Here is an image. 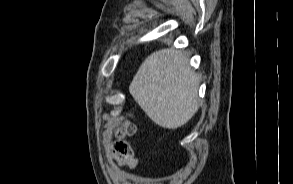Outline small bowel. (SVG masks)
Returning a JSON list of instances; mask_svg holds the SVG:
<instances>
[{
    "label": "small bowel",
    "instance_id": "small-bowel-1",
    "mask_svg": "<svg viewBox=\"0 0 293 184\" xmlns=\"http://www.w3.org/2000/svg\"><path fill=\"white\" fill-rule=\"evenodd\" d=\"M107 164L109 170L117 182H124L127 180V171L122 168V165L127 164L131 169L135 168L137 165V161L133 163H127L116 160L114 157L109 156L107 159Z\"/></svg>",
    "mask_w": 293,
    "mask_h": 184
}]
</instances>
